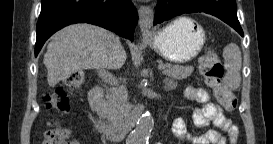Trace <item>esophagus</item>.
Here are the masks:
<instances>
[{
    "label": "esophagus",
    "mask_w": 273,
    "mask_h": 144,
    "mask_svg": "<svg viewBox=\"0 0 273 144\" xmlns=\"http://www.w3.org/2000/svg\"><path fill=\"white\" fill-rule=\"evenodd\" d=\"M139 27L143 36L150 35V28L153 22V10L150 6H140L138 9Z\"/></svg>",
    "instance_id": "esophagus-1"
}]
</instances>
